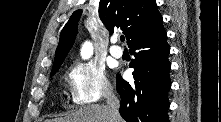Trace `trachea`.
Returning a JSON list of instances; mask_svg holds the SVG:
<instances>
[{
	"instance_id": "obj_1",
	"label": "trachea",
	"mask_w": 221,
	"mask_h": 122,
	"mask_svg": "<svg viewBox=\"0 0 221 122\" xmlns=\"http://www.w3.org/2000/svg\"><path fill=\"white\" fill-rule=\"evenodd\" d=\"M120 40L123 42L125 40V37L124 36H121L120 37Z\"/></svg>"
}]
</instances>
